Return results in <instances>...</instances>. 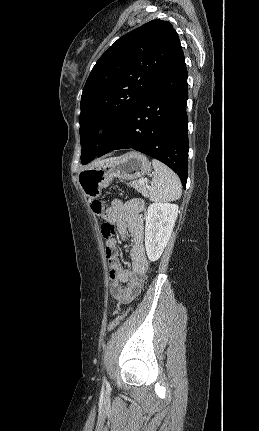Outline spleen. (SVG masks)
<instances>
[{
    "mask_svg": "<svg viewBox=\"0 0 259 431\" xmlns=\"http://www.w3.org/2000/svg\"><path fill=\"white\" fill-rule=\"evenodd\" d=\"M154 175L151 181L150 199L155 202H171L182 195L181 181L177 174L162 162L153 159Z\"/></svg>",
    "mask_w": 259,
    "mask_h": 431,
    "instance_id": "obj_1",
    "label": "spleen"
}]
</instances>
